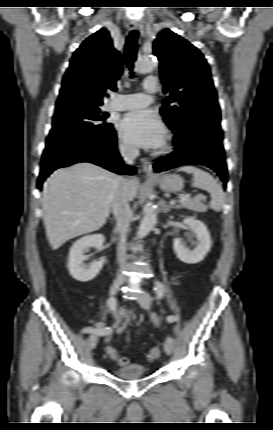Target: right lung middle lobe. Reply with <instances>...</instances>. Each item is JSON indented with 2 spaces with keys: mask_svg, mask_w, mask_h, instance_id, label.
Returning a JSON list of instances; mask_svg holds the SVG:
<instances>
[{
  "mask_svg": "<svg viewBox=\"0 0 273 430\" xmlns=\"http://www.w3.org/2000/svg\"><path fill=\"white\" fill-rule=\"evenodd\" d=\"M93 105L72 101L56 107L53 128L46 140L44 152L94 139H107L113 133V125L106 123L108 116Z\"/></svg>",
  "mask_w": 273,
  "mask_h": 430,
  "instance_id": "dd1d6c3e",
  "label": "right lung middle lobe"
}]
</instances>
